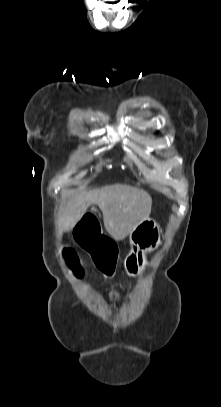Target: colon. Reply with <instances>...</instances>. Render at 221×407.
Returning a JSON list of instances; mask_svg holds the SVG:
<instances>
[{"label": "colon", "instance_id": "1", "mask_svg": "<svg viewBox=\"0 0 221 407\" xmlns=\"http://www.w3.org/2000/svg\"><path fill=\"white\" fill-rule=\"evenodd\" d=\"M87 215L82 216L76 230H72V239H79L80 244L91 253L96 267L106 276H111L117 260L115 245L112 240L103 236L99 216H91L90 212ZM67 257L76 273L82 276L76 255L68 251ZM115 297H118V294H115ZM113 303H117V300H113Z\"/></svg>", "mask_w": 221, "mask_h": 407}]
</instances>
